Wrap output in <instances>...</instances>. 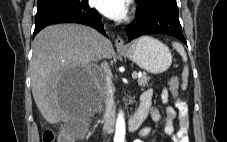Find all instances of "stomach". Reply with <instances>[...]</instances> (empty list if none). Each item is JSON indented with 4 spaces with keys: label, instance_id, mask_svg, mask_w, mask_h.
Instances as JSON below:
<instances>
[{
    "label": "stomach",
    "instance_id": "0dacf381",
    "mask_svg": "<svg viewBox=\"0 0 227 142\" xmlns=\"http://www.w3.org/2000/svg\"><path fill=\"white\" fill-rule=\"evenodd\" d=\"M119 51L140 68L153 74L165 72L172 63L169 48L150 36L136 39Z\"/></svg>",
    "mask_w": 227,
    "mask_h": 142
}]
</instances>
